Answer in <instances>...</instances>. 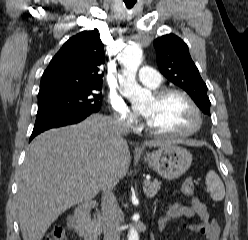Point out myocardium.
<instances>
[{
  "label": "myocardium",
  "mask_w": 248,
  "mask_h": 240,
  "mask_svg": "<svg viewBox=\"0 0 248 240\" xmlns=\"http://www.w3.org/2000/svg\"><path fill=\"white\" fill-rule=\"evenodd\" d=\"M170 95H180L182 96L190 105L195 117H196V123L194 126H192L190 129L182 132H165V131H159L155 130L151 127V125L147 122L146 123V130L148 133L162 137V138H184L191 135H194L197 133L202 125H203V116L201 113V110L199 109L198 105L194 101V99L184 90L179 88H161L154 92V97L157 100H162Z\"/></svg>",
  "instance_id": "1"
}]
</instances>
